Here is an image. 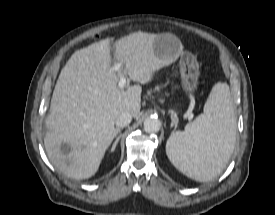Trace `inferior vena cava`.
Instances as JSON below:
<instances>
[{
  "label": "inferior vena cava",
  "instance_id": "1",
  "mask_svg": "<svg viewBox=\"0 0 275 215\" xmlns=\"http://www.w3.org/2000/svg\"><path fill=\"white\" fill-rule=\"evenodd\" d=\"M131 120H132L131 113L129 111H124L117 116L115 120V125L117 127L123 128L127 126L131 122Z\"/></svg>",
  "mask_w": 275,
  "mask_h": 215
}]
</instances>
